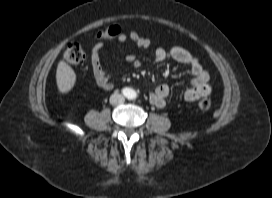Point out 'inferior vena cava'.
Returning <instances> with one entry per match:
<instances>
[{"mask_svg":"<svg viewBox=\"0 0 272 198\" xmlns=\"http://www.w3.org/2000/svg\"><path fill=\"white\" fill-rule=\"evenodd\" d=\"M125 101V98L123 95L114 93L110 96V104L111 105H120L123 104Z\"/></svg>","mask_w":272,"mask_h":198,"instance_id":"inferior-vena-cava-1","label":"inferior vena cava"}]
</instances>
